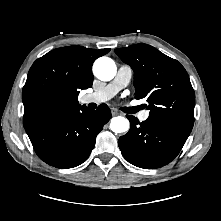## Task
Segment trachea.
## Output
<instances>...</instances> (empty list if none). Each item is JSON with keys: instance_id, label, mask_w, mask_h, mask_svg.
Instances as JSON below:
<instances>
[{"instance_id": "trachea-1", "label": "trachea", "mask_w": 221, "mask_h": 221, "mask_svg": "<svg viewBox=\"0 0 221 221\" xmlns=\"http://www.w3.org/2000/svg\"><path fill=\"white\" fill-rule=\"evenodd\" d=\"M140 109H141L140 106L127 107V108H125V111H126L127 113L133 114V113H136L137 111H139Z\"/></svg>"}]
</instances>
